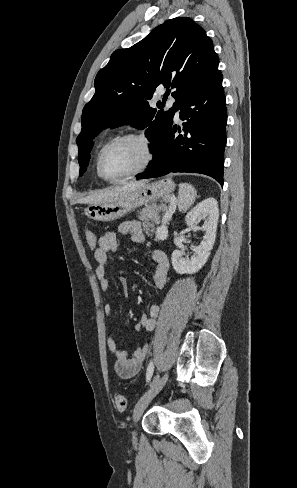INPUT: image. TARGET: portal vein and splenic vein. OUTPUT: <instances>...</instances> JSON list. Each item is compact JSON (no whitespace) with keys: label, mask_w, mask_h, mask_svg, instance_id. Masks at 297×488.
<instances>
[{"label":"portal vein and splenic vein","mask_w":297,"mask_h":488,"mask_svg":"<svg viewBox=\"0 0 297 488\" xmlns=\"http://www.w3.org/2000/svg\"><path fill=\"white\" fill-rule=\"evenodd\" d=\"M175 211V205H172L170 206L169 210H166V212L164 213V216L162 218V227L160 230H163L164 229V225L171 219L173 213Z\"/></svg>","instance_id":"obj_1"}]
</instances>
